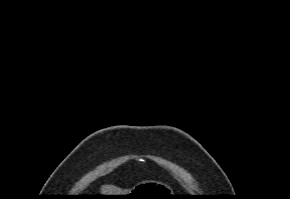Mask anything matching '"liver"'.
Listing matches in <instances>:
<instances>
[{"mask_svg":"<svg viewBox=\"0 0 290 199\" xmlns=\"http://www.w3.org/2000/svg\"><path fill=\"white\" fill-rule=\"evenodd\" d=\"M101 190L102 193H119V190L112 186H103Z\"/></svg>","mask_w":290,"mask_h":199,"instance_id":"obj_1","label":"liver"}]
</instances>
